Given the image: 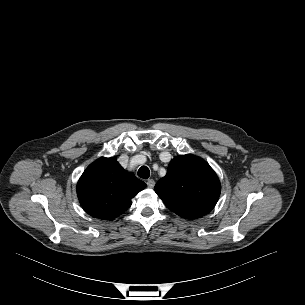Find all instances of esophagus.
Instances as JSON below:
<instances>
[{
  "instance_id": "esophagus-1",
  "label": "esophagus",
  "mask_w": 305,
  "mask_h": 305,
  "mask_svg": "<svg viewBox=\"0 0 305 305\" xmlns=\"http://www.w3.org/2000/svg\"><path fill=\"white\" fill-rule=\"evenodd\" d=\"M146 183H147L148 188H153L155 185L154 179H148Z\"/></svg>"
}]
</instances>
